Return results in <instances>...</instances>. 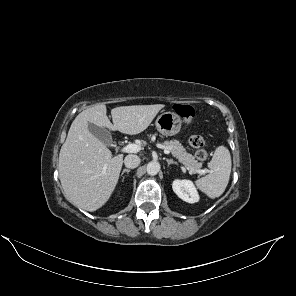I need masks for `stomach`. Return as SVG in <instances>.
<instances>
[{
	"label": "stomach",
	"instance_id": "1",
	"mask_svg": "<svg viewBox=\"0 0 296 296\" xmlns=\"http://www.w3.org/2000/svg\"><path fill=\"white\" fill-rule=\"evenodd\" d=\"M157 130L165 136H172L179 133L182 125L180 116L175 112H163L155 122Z\"/></svg>",
	"mask_w": 296,
	"mask_h": 296
}]
</instances>
